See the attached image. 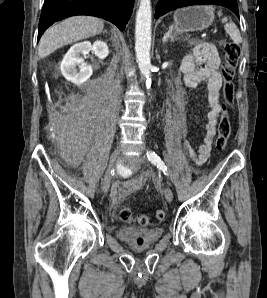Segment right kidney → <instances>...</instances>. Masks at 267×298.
Here are the masks:
<instances>
[{
	"mask_svg": "<svg viewBox=\"0 0 267 298\" xmlns=\"http://www.w3.org/2000/svg\"><path fill=\"white\" fill-rule=\"evenodd\" d=\"M91 50L99 59H105L109 53L107 44L101 40H97L93 44L89 41L77 43L67 51L61 62V72L68 81L80 85L91 77L93 69L81 57ZM77 66H79V72Z\"/></svg>",
	"mask_w": 267,
	"mask_h": 298,
	"instance_id": "ca27d5eb",
	"label": "right kidney"
}]
</instances>
